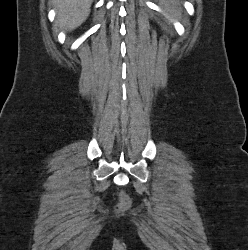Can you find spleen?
Here are the masks:
<instances>
[{
	"label": "spleen",
	"instance_id": "3e777b00",
	"mask_svg": "<svg viewBox=\"0 0 248 250\" xmlns=\"http://www.w3.org/2000/svg\"><path fill=\"white\" fill-rule=\"evenodd\" d=\"M166 11H168L173 16H178L180 10L178 9L179 1L178 0H162Z\"/></svg>",
	"mask_w": 248,
	"mask_h": 250
}]
</instances>
